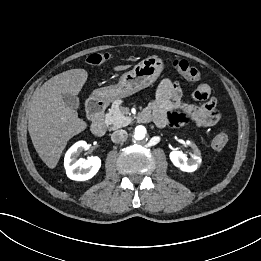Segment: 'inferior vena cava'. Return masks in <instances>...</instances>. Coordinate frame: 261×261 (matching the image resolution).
Returning a JSON list of instances; mask_svg holds the SVG:
<instances>
[{
  "label": "inferior vena cava",
  "instance_id": "602c4592",
  "mask_svg": "<svg viewBox=\"0 0 261 261\" xmlns=\"http://www.w3.org/2000/svg\"><path fill=\"white\" fill-rule=\"evenodd\" d=\"M127 139V132L125 130H117L111 134V140L114 143H123Z\"/></svg>",
  "mask_w": 261,
  "mask_h": 261
}]
</instances>
